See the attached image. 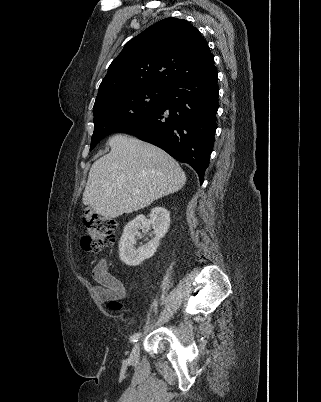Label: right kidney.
Masks as SVG:
<instances>
[{
	"mask_svg": "<svg viewBox=\"0 0 321 402\" xmlns=\"http://www.w3.org/2000/svg\"><path fill=\"white\" fill-rule=\"evenodd\" d=\"M149 225H152L154 229V238L136 249V237L140 235L139 230H146ZM169 226L170 212L164 207L153 208L150 220H147L144 215L136 216L125 226L120 238L119 256L121 261L128 266H137L152 257L159 246L160 239L168 232Z\"/></svg>",
	"mask_w": 321,
	"mask_h": 402,
	"instance_id": "obj_1",
	"label": "right kidney"
}]
</instances>
